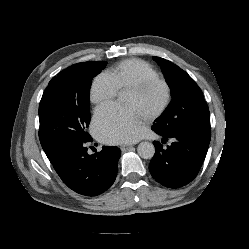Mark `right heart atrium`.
<instances>
[{"label":"right heart atrium","instance_id":"d8ad5b80","mask_svg":"<svg viewBox=\"0 0 249 249\" xmlns=\"http://www.w3.org/2000/svg\"><path fill=\"white\" fill-rule=\"evenodd\" d=\"M119 87L109 73L96 76L90 87V100L96 105L112 101L118 94Z\"/></svg>","mask_w":249,"mask_h":249}]
</instances>
